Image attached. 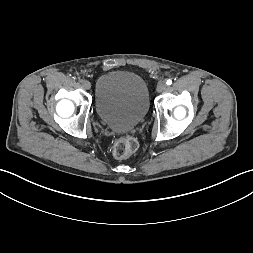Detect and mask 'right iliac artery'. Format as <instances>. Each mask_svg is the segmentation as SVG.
Returning a JSON list of instances; mask_svg holds the SVG:
<instances>
[{
	"label": "right iliac artery",
	"mask_w": 253,
	"mask_h": 253,
	"mask_svg": "<svg viewBox=\"0 0 253 253\" xmlns=\"http://www.w3.org/2000/svg\"><path fill=\"white\" fill-rule=\"evenodd\" d=\"M84 81H85V80H83V79H79V82H80V83H83Z\"/></svg>",
	"instance_id": "82829eb1"
}]
</instances>
